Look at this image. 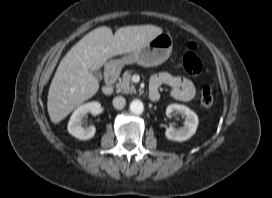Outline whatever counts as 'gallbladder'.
Listing matches in <instances>:
<instances>
[{"label": "gallbladder", "mask_w": 272, "mask_h": 198, "mask_svg": "<svg viewBox=\"0 0 272 198\" xmlns=\"http://www.w3.org/2000/svg\"><path fill=\"white\" fill-rule=\"evenodd\" d=\"M90 73L98 80L102 79V73L99 70H91Z\"/></svg>", "instance_id": "obj_1"}]
</instances>
